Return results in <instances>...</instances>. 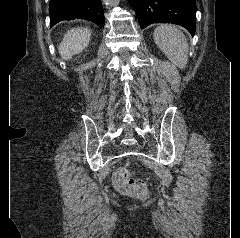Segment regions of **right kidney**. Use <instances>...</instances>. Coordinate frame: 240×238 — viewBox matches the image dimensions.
<instances>
[{
	"instance_id": "ca27d5eb",
	"label": "right kidney",
	"mask_w": 240,
	"mask_h": 238,
	"mask_svg": "<svg viewBox=\"0 0 240 238\" xmlns=\"http://www.w3.org/2000/svg\"><path fill=\"white\" fill-rule=\"evenodd\" d=\"M91 31L89 28H72L69 30L61 44L59 54L64 60H69L73 55L82 52L89 44Z\"/></svg>"
}]
</instances>
